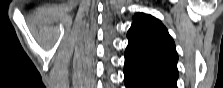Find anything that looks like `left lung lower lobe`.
<instances>
[{
	"mask_svg": "<svg viewBox=\"0 0 223 88\" xmlns=\"http://www.w3.org/2000/svg\"><path fill=\"white\" fill-rule=\"evenodd\" d=\"M124 81L126 88H177V80L126 64Z\"/></svg>",
	"mask_w": 223,
	"mask_h": 88,
	"instance_id": "1",
	"label": "left lung lower lobe"
}]
</instances>
